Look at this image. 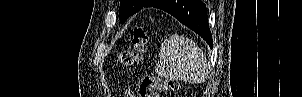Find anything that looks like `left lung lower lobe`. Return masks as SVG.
<instances>
[{"label":"left lung lower lobe","instance_id":"left-lung-lower-lobe-1","mask_svg":"<svg viewBox=\"0 0 302 97\" xmlns=\"http://www.w3.org/2000/svg\"><path fill=\"white\" fill-rule=\"evenodd\" d=\"M148 7H155L173 15L182 24L198 33L213 47L206 5L201 0H154Z\"/></svg>","mask_w":302,"mask_h":97}]
</instances>
